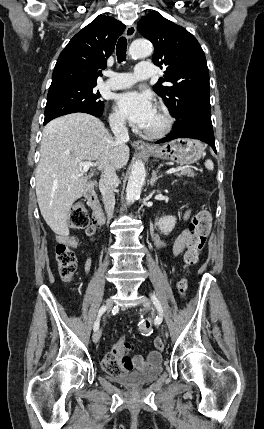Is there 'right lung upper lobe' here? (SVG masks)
<instances>
[{"mask_svg": "<svg viewBox=\"0 0 264 429\" xmlns=\"http://www.w3.org/2000/svg\"><path fill=\"white\" fill-rule=\"evenodd\" d=\"M124 29L125 25L112 17L97 16L61 52L50 89L71 84H96Z\"/></svg>", "mask_w": 264, "mask_h": 429, "instance_id": "obj_1", "label": "right lung upper lobe"}]
</instances>
